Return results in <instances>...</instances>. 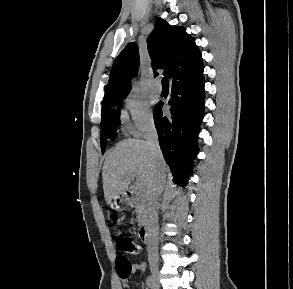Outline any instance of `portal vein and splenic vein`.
Wrapping results in <instances>:
<instances>
[{"label": "portal vein and splenic vein", "mask_w": 293, "mask_h": 289, "mask_svg": "<svg viewBox=\"0 0 293 289\" xmlns=\"http://www.w3.org/2000/svg\"><path fill=\"white\" fill-rule=\"evenodd\" d=\"M136 178V181H138V178L137 177H132V179H135ZM136 189L138 190V192H140V191H142L143 189H142V186L139 184V183H137V185H136Z\"/></svg>", "instance_id": "obj_1"}]
</instances>
